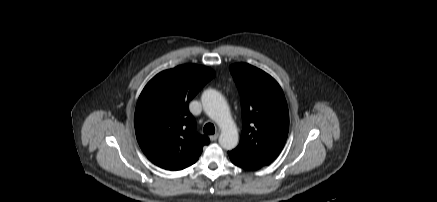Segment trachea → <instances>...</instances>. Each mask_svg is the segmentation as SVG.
Wrapping results in <instances>:
<instances>
[{
    "instance_id": "3493384b",
    "label": "trachea",
    "mask_w": 437,
    "mask_h": 202,
    "mask_svg": "<svg viewBox=\"0 0 437 202\" xmlns=\"http://www.w3.org/2000/svg\"><path fill=\"white\" fill-rule=\"evenodd\" d=\"M203 132H204L205 134H208V135H210V134H214V133H215V127H214V125H213L212 123H207V124H205V126H204V128H203Z\"/></svg>"
}]
</instances>
